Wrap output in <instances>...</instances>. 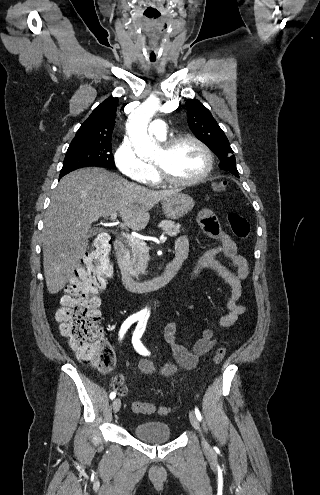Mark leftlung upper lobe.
<instances>
[{"mask_svg": "<svg viewBox=\"0 0 320 495\" xmlns=\"http://www.w3.org/2000/svg\"><path fill=\"white\" fill-rule=\"evenodd\" d=\"M188 124L195 136L220 159L219 167L239 177L229 141L210 111L198 100L186 101Z\"/></svg>", "mask_w": 320, "mask_h": 495, "instance_id": "1", "label": "left lung upper lobe"}]
</instances>
